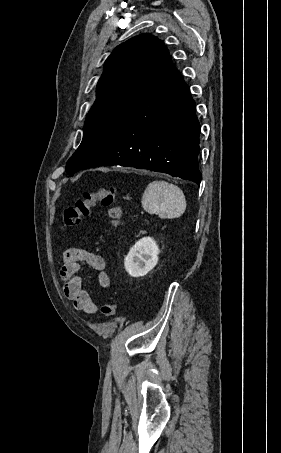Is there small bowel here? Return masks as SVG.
<instances>
[{"label": "small bowel", "mask_w": 281, "mask_h": 453, "mask_svg": "<svg viewBox=\"0 0 281 453\" xmlns=\"http://www.w3.org/2000/svg\"><path fill=\"white\" fill-rule=\"evenodd\" d=\"M82 264H88L97 270L96 285L106 289L109 287V277L104 269L105 260L99 254L83 249H68L63 252V263L60 274L63 278V293L73 306L82 312L93 315L97 312V305L82 290L78 272Z\"/></svg>", "instance_id": "c3829d8e"}]
</instances>
